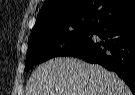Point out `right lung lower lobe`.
Segmentation results:
<instances>
[{
	"instance_id": "98d812e1",
	"label": "right lung lower lobe",
	"mask_w": 135,
	"mask_h": 95,
	"mask_svg": "<svg viewBox=\"0 0 135 95\" xmlns=\"http://www.w3.org/2000/svg\"><path fill=\"white\" fill-rule=\"evenodd\" d=\"M94 34L102 41L94 40L72 56L114 71L135 95V15L108 20Z\"/></svg>"
}]
</instances>
